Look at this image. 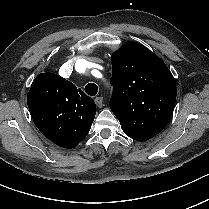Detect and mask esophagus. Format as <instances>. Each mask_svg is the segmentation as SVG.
Returning a JSON list of instances; mask_svg holds the SVG:
<instances>
[{
  "label": "esophagus",
  "mask_w": 209,
  "mask_h": 209,
  "mask_svg": "<svg viewBox=\"0 0 209 209\" xmlns=\"http://www.w3.org/2000/svg\"><path fill=\"white\" fill-rule=\"evenodd\" d=\"M95 103H96L97 107L102 108L103 105H104L103 97H101V96L96 97L95 98Z\"/></svg>",
  "instance_id": "34e87169"
}]
</instances>
